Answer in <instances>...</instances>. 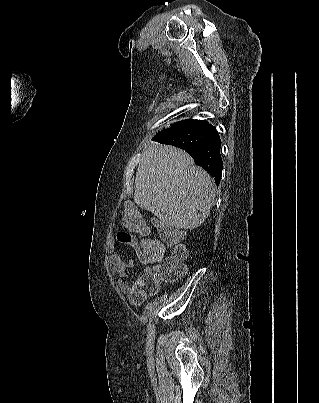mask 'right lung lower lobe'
<instances>
[{"mask_svg": "<svg viewBox=\"0 0 319 403\" xmlns=\"http://www.w3.org/2000/svg\"><path fill=\"white\" fill-rule=\"evenodd\" d=\"M152 140L185 150L197 165L210 173L216 184L220 183L223 169L221 140L216 128L207 121L197 120L184 127L162 130Z\"/></svg>", "mask_w": 319, "mask_h": 403, "instance_id": "obj_1", "label": "right lung lower lobe"}]
</instances>
